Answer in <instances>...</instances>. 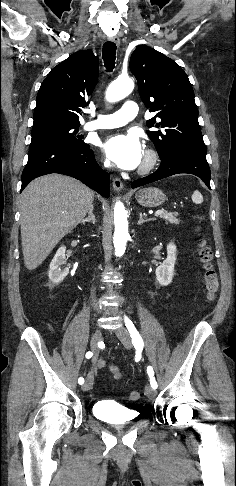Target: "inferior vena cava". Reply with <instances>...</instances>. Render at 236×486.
Returning a JSON list of instances; mask_svg holds the SVG:
<instances>
[{
    "label": "inferior vena cava",
    "instance_id": "1",
    "mask_svg": "<svg viewBox=\"0 0 236 486\" xmlns=\"http://www.w3.org/2000/svg\"><path fill=\"white\" fill-rule=\"evenodd\" d=\"M104 166L105 167H109L110 166V162L109 161H105ZM91 296H92V298L94 297V290L91 291Z\"/></svg>",
    "mask_w": 236,
    "mask_h": 486
}]
</instances>
